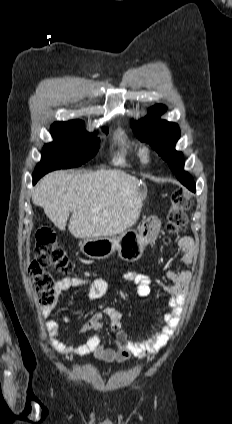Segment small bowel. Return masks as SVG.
Here are the masks:
<instances>
[{
    "instance_id": "obj_1",
    "label": "small bowel",
    "mask_w": 232,
    "mask_h": 424,
    "mask_svg": "<svg viewBox=\"0 0 232 424\" xmlns=\"http://www.w3.org/2000/svg\"><path fill=\"white\" fill-rule=\"evenodd\" d=\"M181 256V265L177 270L166 272L168 283L157 281L160 289L168 297V310L161 315L163 325L157 329L149 338L138 337L136 340L129 339L127 333L121 325V313L113 306H105L102 310L95 311L91 316L82 322L78 327V333L82 334L91 330L102 328V318L107 316L110 320L111 329L116 333V347L107 348L101 343L98 335L90 336L83 344L78 346H67L56 340L60 323L57 320H48L46 328L48 330L50 344L52 348L61 354L87 356L93 355L96 359L106 363L123 362L131 356L139 358H150L159 353L167 346L174 331L179 326V317L183 312L187 292L192 280V273L188 267L192 266L196 257V248L193 240L189 237L181 238L178 242ZM126 281L136 286V293L140 297L151 295V279L148 275L136 270H129L125 273ZM75 287H84L91 299H99L107 289L108 284L104 278L81 279L76 277H64L57 281L56 292L67 291ZM50 311L43 312L44 317ZM69 317L62 318L63 322H68Z\"/></svg>"
}]
</instances>
